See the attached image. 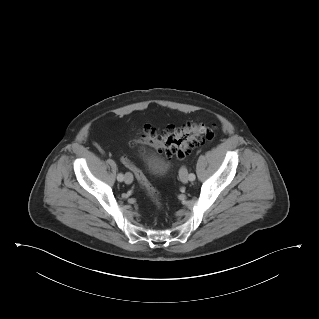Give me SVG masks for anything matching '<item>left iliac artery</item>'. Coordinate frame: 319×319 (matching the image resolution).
<instances>
[{
    "label": "left iliac artery",
    "mask_w": 319,
    "mask_h": 319,
    "mask_svg": "<svg viewBox=\"0 0 319 319\" xmlns=\"http://www.w3.org/2000/svg\"><path fill=\"white\" fill-rule=\"evenodd\" d=\"M188 177H189V180H190V181H194L195 178H196V177H195V174H193V173H190Z\"/></svg>",
    "instance_id": "obj_1"
}]
</instances>
